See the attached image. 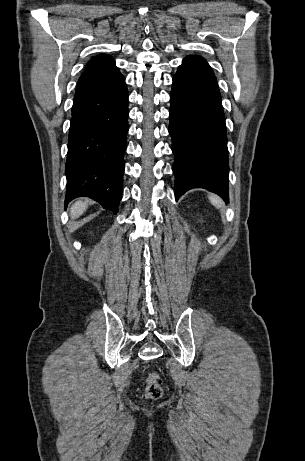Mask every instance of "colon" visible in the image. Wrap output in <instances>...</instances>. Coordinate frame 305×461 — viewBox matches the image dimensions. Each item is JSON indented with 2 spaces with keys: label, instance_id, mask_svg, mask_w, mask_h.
<instances>
[{
  "label": "colon",
  "instance_id": "obj_1",
  "mask_svg": "<svg viewBox=\"0 0 305 461\" xmlns=\"http://www.w3.org/2000/svg\"><path fill=\"white\" fill-rule=\"evenodd\" d=\"M146 397L149 399H158L162 395V379L156 372H150L146 376Z\"/></svg>",
  "mask_w": 305,
  "mask_h": 461
}]
</instances>
